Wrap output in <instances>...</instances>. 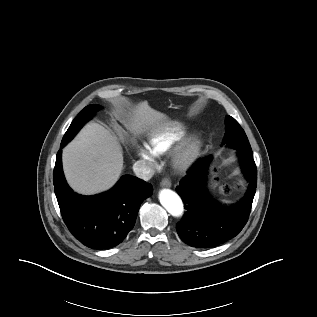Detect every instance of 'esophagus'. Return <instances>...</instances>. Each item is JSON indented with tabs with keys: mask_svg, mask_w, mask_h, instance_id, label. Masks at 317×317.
<instances>
[{
	"mask_svg": "<svg viewBox=\"0 0 317 317\" xmlns=\"http://www.w3.org/2000/svg\"><path fill=\"white\" fill-rule=\"evenodd\" d=\"M160 185H161V187L170 188L171 187V181H170L169 178H164V179H162Z\"/></svg>",
	"mask_w": 317,
	"mask_h": 317,
	"instance_id": "esophagus-1",
	"label": "esophagus"
}]
</instances>
